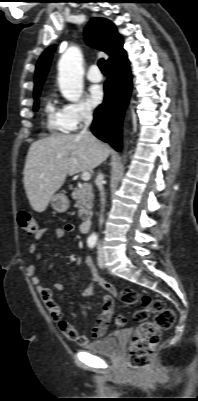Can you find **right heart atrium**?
<instances>
[{"mask_svg": "<svg viewBox=\"0 0 198 401\" xmlns=\"http://www.w3.org/2000/svg\"><path fill=\"white\" fill-rule=\"evenodd\" d=\"M62 118L70 129H79L94 118V109L84 101L65 103L61 109Z\"/></svg>", "mask_w": 198, "mask_h": 401, "instance_id": "right-heart-atrium-1", "label": "right heart atrium"}]
</instances>
